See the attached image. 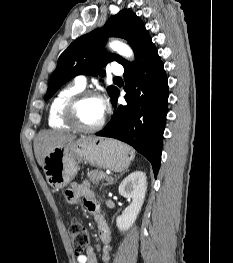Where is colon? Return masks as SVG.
Segmentation results:
<instances>
[{
  "instance_id": "obj_1",
  "label": "colon",
  "mask_w": 233,
  "mask_h": 263,
  "mask_svg": "<svg viewBox=\"0 0 233 263\" xmlns=\"http://www.w3.org/2000/svg\"><path fill=\"white\" fill-rule=\"evenodd\" d=\"M72 246L77 256L82 255L89 245V235L85 227L77 222H72L68 227Z\"/></svg>"
}]
</instances>
